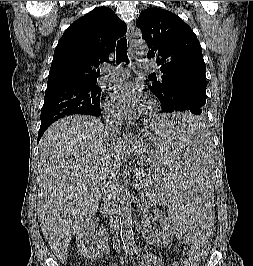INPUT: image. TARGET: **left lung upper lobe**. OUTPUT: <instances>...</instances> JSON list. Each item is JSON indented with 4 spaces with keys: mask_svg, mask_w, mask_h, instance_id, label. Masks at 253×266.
<instances>
[{
    "mask_svg": "<svg viewBox=\"0 0 253 266\" xmlns=\"http://www.w3.org/2000/svg\"><path fill=\"white\" fill-rule=\"evenodd\" d=\"M147 42V58L155 59L163 73L161 81L150 79L149 89L166 107L173 93L193 86L206 95V66L201 45L192 29L177 15L159 8L143 11L136 23ZM204 118V113L200 116Z\"/></svg>",
    "mask_w": 253,
    "mask_h": 266,
    "instance_id": "obj_1",
    "label": "left lung upper lobe"
}]
</instances>
